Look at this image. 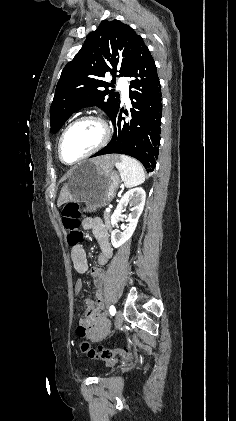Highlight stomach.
Wrapping results in <instances>:
<instances>
[{"label": "stomach", "instance_id": "0dacf381", "mask_svg": "<svg viewBox=\"0 0 236 421\" xmlns=\"http://www.w3.org/2000/svg\"><path fill=\"white\" fill-rule=\"evenodd\" d=\"M120 176L113 166H100L91 158L73 166L69 174V188L75 202H85L86 211L110 202L120 184Z\"/></svg>", "mask_w": 236, "mask_h": 421}]
</instances>
